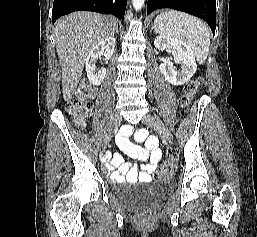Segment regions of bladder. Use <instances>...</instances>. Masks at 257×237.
<instances>
[{
    "label": "bladder",
    "mask_w": 257,
    "mask_h": 237,
    "mask_svg": "<svg viewBox=\"0 0 257 237\" xmlns=\"http://www.w3.org/2000/svg\"><path fill=\"white\" fill-rule=\"evenodd\" d=\"M169 191L168 181H154L146 188L124 193L120 199L123 204L133 209H152L163 201Z\"/></svg>",
    "instance_id": "bladder-1"
}]
</instances>
